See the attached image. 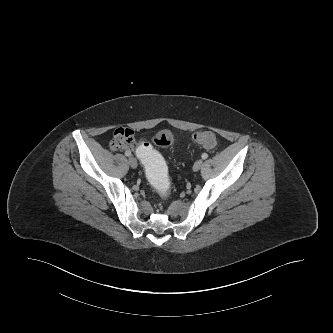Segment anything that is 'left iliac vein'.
Returning a JSON list of instances; mask_svg holds the SVG:
<instances>
[{
	"label": "left iliac vein",
	"instance_id": "left-iliac-vein-1",
	"mask_svg": "<svg viewBox=\"0 0 333 333\" xmlns=\"http://www.w3.org/2000/svg\"><path fill=\"white\" fill-rule=\"evenodd\" d=\"M202 164H203V160H201V159L197 160L193 165V170L198 171L202 167Z\"/></svg>",
	"mask_w": 333,
	"mask_h": 333
}]
</instances>
